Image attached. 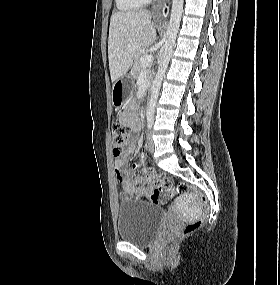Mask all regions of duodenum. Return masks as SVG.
<instances>
[{"instance_id": "obj_1", "label": "duodenum", "mask_w": 280, "mask_h": 285, "mask_svg": "<svg viewBox=\"0 0 280 285\" xmlns=\"http://www.w3.org/2000/svg\"><path fill=\"white\" fill-rule=\"evenodd\" d=\"M146 92L149 93V92H150V89L148 88V90H146Z\"/></svg>"}]
</instances>
